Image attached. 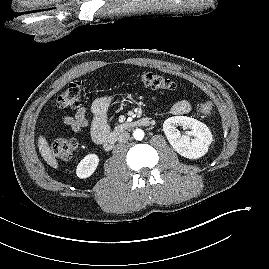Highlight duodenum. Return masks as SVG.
I'll return each mask as SVG.
<instances>
[{"label":"duodenum","instance_id":"410a0bca","mask_svg":"<svg viewBox=\"0 0 269 269\" xmlns=\"http://www.w3.org/2000/svg\"><path fill=\"white\" fill-rule=\"evenodd\" d=\"M150 123H151V121L149 118L143 117V118L137 119L131 123L121 125L118 129H116V130H114L106 135V137L103 141L104 148L106 150H111L114 147L118 136L123 131H125L127 128L135 127V126H149Z\"/></svg>","mask_w":269,"mask_h":269}]
</instances>
